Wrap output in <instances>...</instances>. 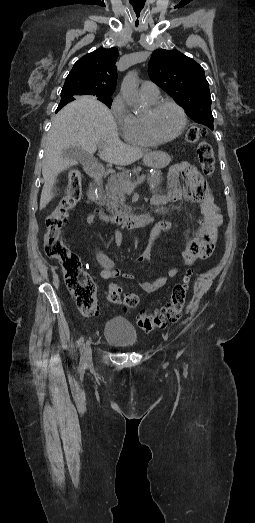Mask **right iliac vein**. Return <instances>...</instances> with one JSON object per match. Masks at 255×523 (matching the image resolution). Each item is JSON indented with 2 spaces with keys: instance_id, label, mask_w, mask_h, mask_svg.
<instances>
[{
  "instance_id": "1",
  "label": "right iliac vein",
  "mask_w": 255,
  "mask_h": 523,
  "mask_svg": "<svg viewBox=\"0 0 255 523\" xmlns=\"http://www.w3.org/2000/svg\"><path fill=\"white\" fill-rule=\"evenodd\" d=\"M91 355H92V349H91L90 343L87 342L85 344V359H86V361L91 359Z\"/></svg>"
}]
</instances>
